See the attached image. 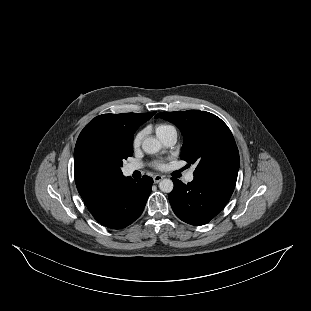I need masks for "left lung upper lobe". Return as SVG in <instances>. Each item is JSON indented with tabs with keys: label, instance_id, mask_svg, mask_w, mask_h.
Returning <instances> with one entry per match:
<instances>
[{
	"label": "left lung upper lobe",
	"instance_id": "5c2ea615",
	"mask_svg": "<svg viewBox=\"0 0 311 311\" xmlns=\"http://www.w3.org/2000/svg\"><path fill=\"white\" fill-rule=\"evenodd\" d=\"M182 132L180 158L195 163L194 178L233 177L239 170V152L228 126L216 115L199 110L158 113Z\"/></svg>",
	"mask_w": 311,
	"mask_h": 311
}]
</instances>
